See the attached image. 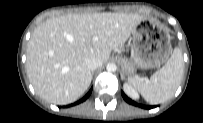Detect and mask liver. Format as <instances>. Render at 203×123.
<instances>
[{"instance_id": "liver-1", "label": "liver", "mask_w": 203, "mask_h": 123, "mask_svg": "<svg viewBox=\"0 0 203 123\" xmlns=\"http://www.w3.org/2000/svg\"><path fill=\"white\" fill-rule=\"evenodd\" d=\"M142 20L136 13L106 12L52 17L38 25L27 44L26 62L36 93L57 105L78 100L92 80L86 60L105 63Z\"/></svg>"}]
</instances>
